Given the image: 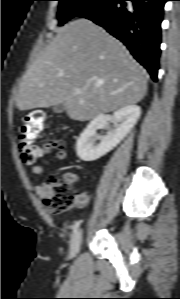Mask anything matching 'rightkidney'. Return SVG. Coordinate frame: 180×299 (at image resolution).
<instances>
[{"instance_id":"ca27d5eb","label":"right kidney","mask_w":180,"mask_h":299,"mask_svg":"<svg viewBox=\"0 0 180 299\" xmlns=\"http://www.w3.org/2000/svg\"><path fill=\"white\" fill-rule=\"evenodd\" d=\"M140 115L139 106L128 105L115 111L112 117L104 114L95 117L77 140L76 152L79 158L83 161H95L113 150L131 131ZM109 121L114 122L116 128L108 135L100 137V143L96 144V131Z\"/></svg>"}]
</instances>
